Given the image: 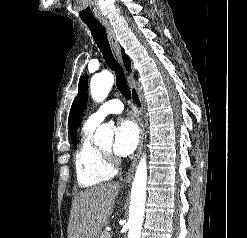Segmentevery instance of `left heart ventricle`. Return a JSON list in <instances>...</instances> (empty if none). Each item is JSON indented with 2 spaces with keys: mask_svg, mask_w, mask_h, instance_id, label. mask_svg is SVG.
Wrapping results in <instances>:
<instances>
[{
  "mask_svg": "<svg viewBox=\"0 0 247 238\" xmlns=\"http://www.w3.org/2000/svg\"><path fill=\"white\" fill-rule=\"evenodd\" d=\"M104 150L109 151L110 150V145L104 147Z\"/></svg>",
  "mask_w": 247,
  "mask_h": 238,
  "instance_id": "1",
  "label": "left heart ventricle"
}]
</instances>
